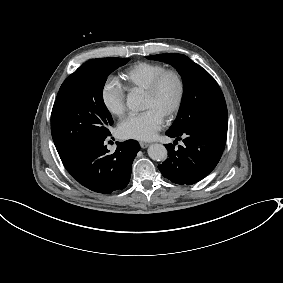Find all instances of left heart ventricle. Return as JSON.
Wrapping results in <instances>:
<instances>
[{
  "mask_svg": "<svg viewBox=\"0 0 283 283\" xmlns=\"http://www.w3.org/2000/svg\"><path fill=\"white\" fill-rule=\"evenodd\" d=\"M177 92V84L173 77H167L158 93L154 96H149L144 93L142 109L153 108L163 115L172 105Z\"/></svg>",
  "mask_w": 283,
  "mask_h": 283,
  "instance_id": "b2bd125f",
  "label": "left heart ventricle"
}]
</instances>
